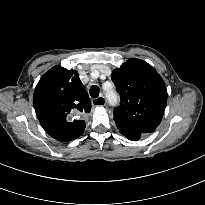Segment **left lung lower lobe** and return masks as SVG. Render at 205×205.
I'll return each instance as SVG.
<instances>
[{"label": "left lung lower lobe", "mask_w": 205, "mask_h": 205, "mask_svg": "<svg viewBox=\"0 0 205 205\" xmlns=\"http://www.w3.org/2000/svg\"><path fill=\"white\" fill-rule=\"evenodd\" d=\"M116 125H117V128L119 129V132L132 141L139 140L145 134V133L136 131L134 129H131L127 126H124L122 124H119V123H116Z\"/></svg>", "instance_id": "left-lung-lower-lobe-1"}]
</instances>
